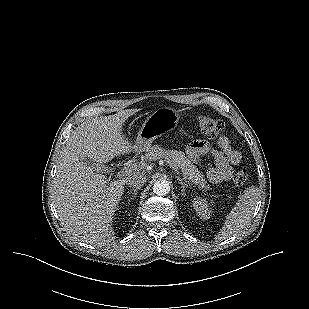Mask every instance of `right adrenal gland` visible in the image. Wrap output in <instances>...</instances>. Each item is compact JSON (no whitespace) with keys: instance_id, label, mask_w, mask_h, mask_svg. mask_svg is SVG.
Returning <instances> with one entry per match:
<instances>
[{"instance_id":"1","label":"right adrenal gland","mask_w":309,"mask_h":309,"mask_svg":"<svg viewBox=\"0 0 309 309\" xmlns=\"http://www.w3.org/2000/svg\"><path fill=\"white\" fill-rule=\"evenodd\" d=\"M140 188L136 187V188H133L132 190H130V192H128L129 194L132 193V197H136L137 195V192ZM132 199V198H131ZM130 201V200H129Z\"/></svg>"}]
</instances>
